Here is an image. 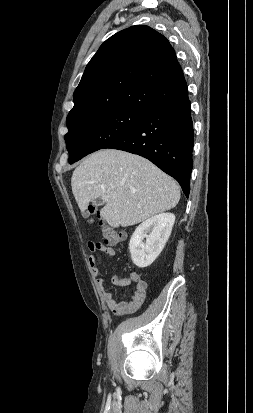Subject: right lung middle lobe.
I'll return each mask as SVG.
<instances>
[{
    "instance_id": "right-lung-middle-lobe-1",
    "label": "right lung middle lobe",
    "mask_w": 253,
    "mask_h": 413,
    "mask_svg": "<svg viewBox=\"0 0 253 413\" xmlns=\"http://www.w3.org/2000/svg\"><path fill=\"white\" fill-rule=\"evenodd\" d=\"M144 115L145 112L141 111L116 109L68 123L65 141L69 163L122 138L140 123Z\"/></svg>"
}]
</instances>
